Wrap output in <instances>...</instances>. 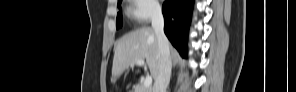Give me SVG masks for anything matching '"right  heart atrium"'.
Wrapping results in <instances>:
<instances>
[{"mask_svg": "<svg viewBox=\"0 0 296 92\" xmlns=\"http://www.w3.org/2000/svg\"><path fill=\"white\" fill-rule=\"evenodd\" d=\"M160 14V5L157 1L134 0L130 2L128 16L139 24H144Z\"/></svg>", "mask_w": 296, "mask_h": 92, "instance_id": "1", "label": "right heart atrium"}]
</instances>
